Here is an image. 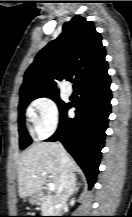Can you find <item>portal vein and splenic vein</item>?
Segmentation results:
<instances>
[{
	"instance_id": "obj_1",
	"label": "portal vein and splenic vein",
	"mask_w": 132,
	"mask_h": 217,
	"mask_svg": "<svg viewBox=\"0 0 132 217\" xmlns=\"http://www.w3.org/2000/svg\"><path fill=\"white\" fill-rule=\"evenodd\" d=\"M33 177H36V176H33ZM48 187H49V190H50V191H54V190H55V185H54L52 182H50V183L48 184Z\"/></svg>"
}]
</instances>
